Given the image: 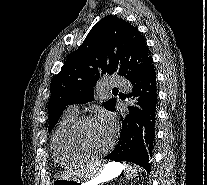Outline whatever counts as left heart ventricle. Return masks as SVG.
<instances>
[{
  "instance_id": "1",
  "label": "left heart ventricle",
  "mask_w": 207,
  "mask_h": 185,
  "mask_svg": "<svg viewBox=\"0 0 207 185\" xmlns=\"http://www.w3.org/2000/svg\"><path fill=\"white\" fill-rule=\"evenodd\" d=\"M112 131L102 125L97 119L86 123L80 131L81 142L92 151H102L111 142Z\"/></svg>"
}]
</instances>
